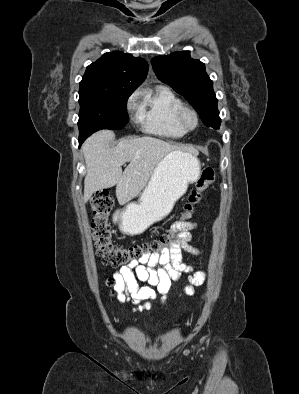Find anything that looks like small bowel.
I'll return each instance as SVG.
<instances>
[{
    "mask_svg": "<svg viewBox=\"0 0 299 394\" xmlns=\"http://www.w3.org/2000/svg\"><path fill=\"white\" fill-rule=\"evenodd\" d=\"M197 228V223L192 221H177L171 229L178 233L174 245L160 254L145 256L140 260L122 267L113 275L116 298L120 303L131 301L139 309L148 310L150 300L157 298L156 290L165 295L169 292L172 283L179 280L183 274H190V286L184 287L187 295L193 294V286L201 285L205 274L194 271L193 267L183 262V253L200 255L202 250L190 244L193 239L192 231ZM139 282L148 286H140ZM156 288V290L154 289ZM161 302L166 304L163 296Z\"/></svg>",
    "mask_w": 299,
    "mask_h": 394,
    "instance_id": "c3829d8e",
    "label": "small bowel"
}]
</instances>
